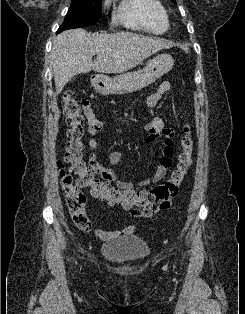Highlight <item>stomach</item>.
<instances>
[{"label":"stomach","mask_w":245,"mask_h":314,"mask_svg":"<svg viewBox=\"0 0 245 314\" xmlns=\"http://www.w3.org/2000/svg\"><path fill=\"white\" fill-rule=\"evenodd\" d=\"M173 65L174 59L171 55L161 54L139 71L121 74L115 78L96 75L92 79V85L96 91L103 95L132 93L154 83L158 78L168 73Z\"/></svg>","instance_id":"1"}]
</instances>
